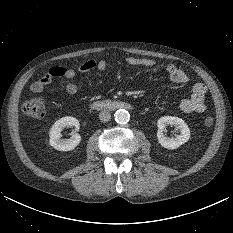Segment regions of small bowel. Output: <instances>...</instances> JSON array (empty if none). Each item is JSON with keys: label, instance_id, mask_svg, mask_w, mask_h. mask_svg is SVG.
I'll use <instances>...</instances> for the list:
<instances>
[{"label": "small bowel", "instance_id": "obj_1", "mask_svg": "<svg viewBox=\"0 0 233 233\" xmlns=\"http://www.w3.org/2000/svg\"><path fill=\"white\" fill-rule=\"evenodd\" d=\"M128 64L132 66H140L151 68L155 66V61L150 58H140L135 56H128L126 58ZM107 61L105 59L96 60H86L83 62L77 69L79 73H88L94 69L99 71H104L107 68ZM169 79L175 84H186L189 81V76L185 71L178 68L177 66L170 64L166 68ZM76 75V70L61 66H55L49 69V71L42 76L40 79L35 81L31 90L34 93H40L47 86L51 84L54 79L65 78L73 79ZM66 91L74 95L78 91V85L76 82H69L66 85ZM207 92V87L203 83H196L192 87V92L190 97H187L179 102L178 108L181 112L190 114V113H203L206 110L205 95Z\"/></svg>", "mask_w": 233, "mask_h": 233}]
</instances>
